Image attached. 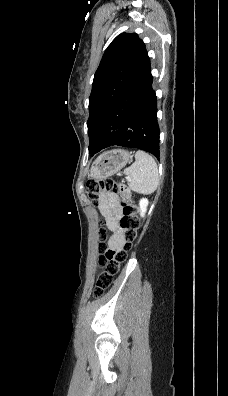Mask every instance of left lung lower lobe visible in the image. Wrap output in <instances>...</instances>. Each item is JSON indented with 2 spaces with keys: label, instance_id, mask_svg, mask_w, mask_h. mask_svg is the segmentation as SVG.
Segmentation results:
<instances>
[{
  "label": "left lung lower lobe",
  "instance_id": "obj_1",
  "mask_svg": "<svg viewBox=\"0 0 228 396\" xmlns=\"http://www.w3.org/2000/svg\"><path fill=\"white\" fill-rule=\"evenodd\" d=\"M150 63L143 73L122 94L121 100H131L117 117L98 133V151L112 146L134 147L152 153L159 159V125L157 99L152 88ZM127 103V102H126Z\"/></svg>",
  "mask_w": 228,
  "mask_h": 396
}]
</instances>
